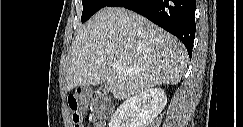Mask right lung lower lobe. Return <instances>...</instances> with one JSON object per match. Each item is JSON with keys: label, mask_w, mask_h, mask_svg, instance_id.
<instances>
[{"label": "right lung lower lobe", "mask_w": 243, "mask_h": 127, "mask_svg": "<svg viewBox=\"0 0 243 127\" xmlns=\"http://www.w3.org/2000/svg\"><path fill=\"white\" fill-rule=\"evenodd\" d=\"M108 6L124 7L143 15L177 36L192 56L196 0H113Z\"/></svg>", "instance_id": "98d812e1"}]
</instances>
